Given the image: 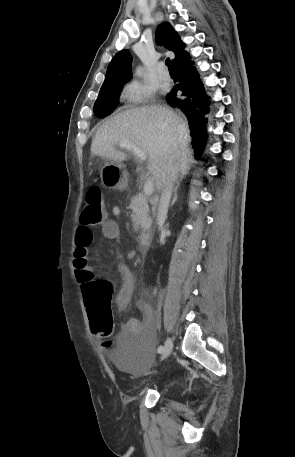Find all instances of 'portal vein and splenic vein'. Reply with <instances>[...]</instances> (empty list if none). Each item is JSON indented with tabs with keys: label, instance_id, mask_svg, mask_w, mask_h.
Segmentation results:
<instances>
[{
	"label": "portal vein and splenic vein",
	"instance_id": "portal-vein-and-splenic-vein-1",
	"mask_svg": "<svg viewBox=\"0 0 295 457\" xmlns=\"http://www.w3.org/2000/svg\"><path fill=\"white\" fill-rule=\"evenodd\" d=\"M119 146L121 148L127 149L128 151H131L137 157H139L142 161H145L147 158V154L143 150H141L140 148H138L136 145H134L133 143H131L129 141L120 142ZM153 181H154V178L149 177L146 180V182L144 183L143 191H144V194L147 196L151 195L154 191Z\"/></svg>",
	"mask_w": 295,
	"mask_h": 457
}]
</instances>
